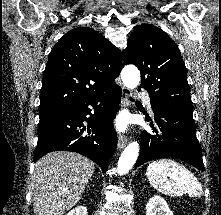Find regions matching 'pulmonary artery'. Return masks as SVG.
I'll return each instance as SVG.
<instances>
[{
    "label": "pulmonary artery",
    "mask_w": 221,
    "mask_h": 215,
    "mask_svg": "<svg viewBox=\"0 0 221 215\" xmlns=\"http://www.w3.org/2000/svg\"><path fill=\"white\" fill-rule=\"evenodd\" d=\"M139 96L142 97L143 99H145L146 105H147L148 109L151 111L152 108H151V103H150L149 97L147 95H145L144 93H141Z\"/></svg>",
    "instance_id": "e3ab8cb5"
}]
</instances>
